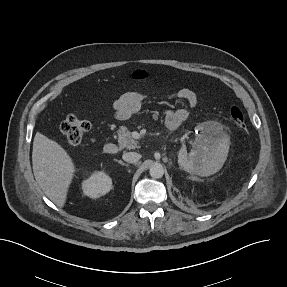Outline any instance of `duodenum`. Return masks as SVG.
<instances>
[{
	"instance_id": "410a0bca",
	"label": "duodenum",
	"mask_w": 287,
	"mask_h": 287,
	"mask_svg": "<svg viewBox=\"0 0 287 287\" xmlns=\"http://www.w3.org/2000/svg\"><path fill=\"white\" fill-rule=\"evenodd\" d=\"M117 151H118V148H117L116 144H114V143H108L105 146V152L107 154H111L112 155V154L117 153Z\"/></svg>"
}]
</instances>
